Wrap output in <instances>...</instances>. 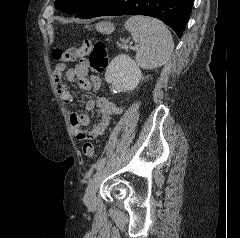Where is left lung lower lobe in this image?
<instances>
[{
	"mask_svg": "<svg viewBox=\"0 0 240 238\" xmlns=\"http://www.w3.org/2000/svg\"><path fill=\"white\" fill-rule=\"evenodd\" d=\"M194 0H92L77 18L145 15L169 25L180 38L191 14Z\"/></svg>",
	"mask_w": 240,
	"mask_h": 238,
	"instance_id": "0a47b994",
	"label": "left lung lower lobe"
}]
</instances>
